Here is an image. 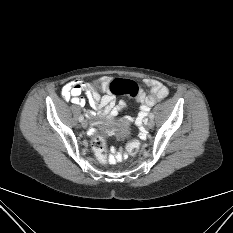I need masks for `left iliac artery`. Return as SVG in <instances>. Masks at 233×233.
<instances>
[{"label": "left iliac artery", "mask_w": 233, "mask_h": 233, "mask_svg": "<svg viewBox=\"0 0 233 233\" xmlns=\"http://www.w3.org/2000/svg\"><path fill=\"white\" fill-rule=\"evenodd\" d=\"M149 118L150 119H153L154 118V115L152 113H149Z\"/></svg>", "instance_id": "44dca946"}]
</instances>
